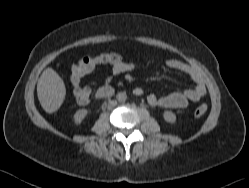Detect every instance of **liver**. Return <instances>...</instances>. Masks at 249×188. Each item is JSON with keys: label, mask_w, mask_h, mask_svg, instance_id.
Masks as SVG:
<instances>
[{"label": "liver", "mask_w": 249, "mask_h": 188, "mask_svg": "<svg viewBox=\"0 0 249 188\" xmlns=\"http://www.w3.org/2000/svg\"><path fill=\"white\" fill-rule=\"evenodd\" d=\"M37 96L42 108L50 114L57 111L65 99L64 81L51 67L46 68L38 79Z\"/></svg>", "instance_id": "1"}]
</instances>
